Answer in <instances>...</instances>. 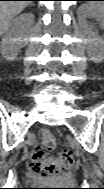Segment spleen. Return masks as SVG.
Here are the masks:
<instances>
[{
  "instance_id": "3e777b00",
  "label": "spleen",
  "mask_w": 104,
  "mask_h": 189,
  "mask_svg": "<svg viewBox=\"0 0 104 189\" xmlns=\"http://www.w3.org/2000/svg\"><path fill=\"white\" fill-rule=\"evenodd\" d=\"M88 3L91 7L95 8V9L103 8V3L101 1H91Z\"/></svg>"
}]
</instances>
